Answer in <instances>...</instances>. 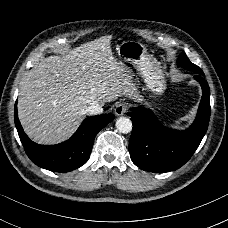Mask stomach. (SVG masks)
<instances>
[{
    "label": "stomach",
    "mask_w": 228,
    "mask_h": 228,
    "mask_svg": "<svg viewBox=\"0 0 228 228\" xmlns=\"http://www.w3.org/2000/svg\"><path fill=\"white\" fill-rule=\"evenodd\" d=\"M117 51L119 57L141 73L149 90L157 94L164 90V75L155 68L144 45L134 41H125L117 47Z\"/></svg>",
    "instance_id": "1"
}]
</instances>
